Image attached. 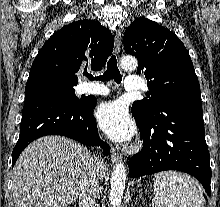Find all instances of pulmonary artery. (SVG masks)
I'll return each mask as SVG.
<instances>
[{"instance_id": "e3ab8cb5", "label": "pulmonary artery", "mask_w": 220, "mask_h": 207, "mask_svg": "<svg viewBox=\"0 0 220 207\" xmlns=\"http://www.w3.org/2000/svg\"><path fill=\"white\" fill-rule=\"evenodd\" d=\"M124 88L127 91H136L143 88L141 79L138 76H128L125 79ZM85 92L95 95H108L109 89L103 85L92 84L85 88Z\"/></svg>"}]
</instances>
